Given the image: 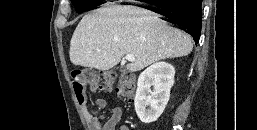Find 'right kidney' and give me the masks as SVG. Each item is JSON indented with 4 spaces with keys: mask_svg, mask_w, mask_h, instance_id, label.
Returning <instances> with one entry per match:
<instances>
[{
    "mask_svg": "<svg viewBox=\"0 0 257 130\" xmlns=\"http://www.w3.org/2000/svg\"><path fill=\"white\" fill-rule=\"evenodd\" d=\"M174 75L175 68L166 62L155 63L140 74L134 106L141 122H155L163 113L174 84Z\"/></svg>",
    "mask_w": 257,
    "mask_h": 130,
    "instance_id": "1",
    "label": "right kidney"
}]
</instances>
